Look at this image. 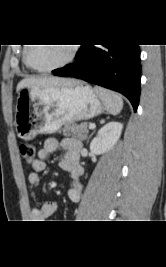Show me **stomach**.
Instances as JSON below:
<instances>
[{
    "mask_svg": "<svg viewBox=\"0 0 166 267\" xmlns=\"http://www.w3.org/2000/svg\"><path fill=\"white\" fill-rule=\"evenodd\" d=\"M105 106L90 86L23 88L17 98L14 125L19 138L32 140L38 134H52L62 125L88 120Z\"/></svg>",
    "mask_w": 166,
    "mask_h": 267,
    "instance_id": "0dacf381",
    "label": "stomach"
}]
</instances>
